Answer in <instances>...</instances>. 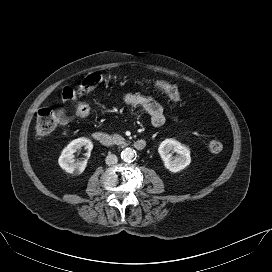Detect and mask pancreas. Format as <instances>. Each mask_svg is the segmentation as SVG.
Wrapping results in <instances>:
<instances>
[{"label":"pancreas","mask_w":272,"mask_h":272,"mask_svg":"<svg viewBox=\"0 0 272 272\" xmlns=\"http://www.w3.org/2000/svg\"><path fill=\"white\" fill-rule=\"evenodd\" d=\"M112 138H113L114 143L117 144V145H123V144L126 143L125 139L119 134H114L112 136Z\"/></svg>","instance_id":"pancreas-1"}]
</instances>
